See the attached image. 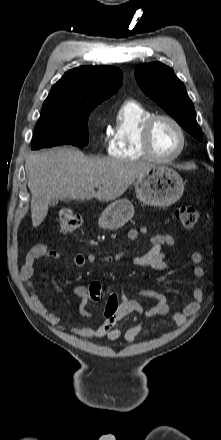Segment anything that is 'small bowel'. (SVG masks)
I'll return each mask as SVG.
<instances>
[{
  "label": "small bowel",
  "mask_w": 221,
  "mask_h": 440,
  "mask_svg": "<svg viewBox=\"0 0 221 440\" xmlns=\"http://www.w3.org/2000/svg\"><path fill=\"white\" fill-rule=\"evenodd\" d=\"M146 231L147 230L145 227H141L139 229L131 228L128 231V239L130 241H133L139 236L140 233L144 234L146 233ZM149 242L151 245L150 250L144 255L134 257V263L139 266L148 267L156 271L166 270V253L164 252L163 247L174 246L176 244L175 238L170 235H154L150 237ZM126 253V250H122L113 255H97L93 253L86 255L76 254L73 256V263L77 267H84L86 265L96 263L110 265L124 259ZM41 259L65 261L66 257L57 250L49 248L45 244H36L32 246L26 256L25 263L21 268V279L26 289L29 291L38 312L43 317H45L53 326L63 329L69 334L76 337L98 339L107 338L111 341H116L121 338V336H123L126 342L132 343L141 333L143 323L140 322L122 333L120 329L116 328V325L124 317L132 313H138L144 317L160 315L169 318L176 325L181 326L185 323L187 316L192 315L199 310L203 298L202 285L201 287L195 288L191 291L192 301L190 303L185 305L180 311H173L163 294L153 290L135 291L134 293L139 296L154 299L157 301L155 307L151 308L150 310H144L138 300L130 299L125 291L122 290L119 295L120 305L117 309V312L114 314L113 321H102L96 328L81 326L65 329L60 326V323L62 321L61 317L57 313L50 312L45 303L42 302L37 296V288L32 281V276L36 263ZM191 261L193 263V266L191 267V272L193 273V275L203 280L205 276L204 269L198 266V264L201 262V255L197 252L192 253ZM42 285L47 287L50 285V283L48 281H43ZM89 288L90 284H78L73 285L70 288L71 294L81 299V302L79 304V311L83 316L86 317L91 316V311L88 309Z\"/></svg>",
  "instance_id": "obj_1"
}]
</instances>
